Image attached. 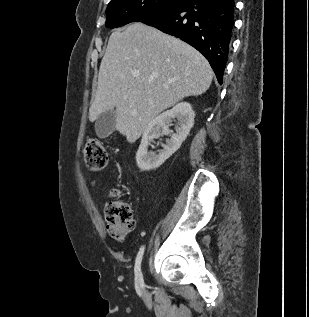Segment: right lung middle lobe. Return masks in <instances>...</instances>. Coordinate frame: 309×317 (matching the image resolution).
I'll return each instance as SVG.
<instances>
[{"instance_id":"1","label":"right lung middle lobe","mask_w":309,"mask_h":317,"mask_svg":"<svg viewBox=\"0 0 309 317\" xmlns=\"http://www.w3.org/2000/svg\"><path fill=\"white\" fill-rule=\"evenodd\" d=\"M186 0H111L106 9V27L115 28L133 22L137 18L170 8Z\"/></svg>"}]
</instances>
